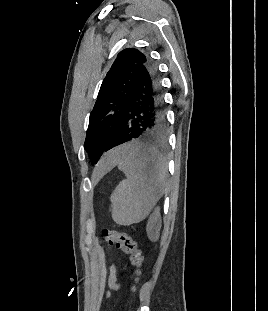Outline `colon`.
<instances>
[{
  "label": "colon",
  "instance_id": "obj_1",
  "mask_svg": "<svg viewBox=\"0 0 268 311\" xmlns=\"http://www.w3.org/2000/svg\"><path fill=\"white\" fill-rule=\"evenodd\" d=\"M102 241L108 246H116L122 249L127 255H129L130 261L135 267V282L132 286V291H135L136 284L142 273L143 256L137 243L125 232H119L115 230H103L101 235Z\"/></svg>",
  "mask_w": 268,
  "mask_h": 311
}]
</instances>
